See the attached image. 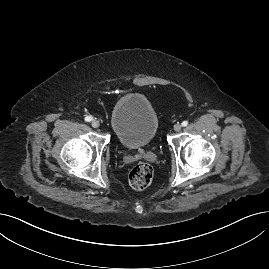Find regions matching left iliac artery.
<instances>
[{
  "mask_svg": "<svg viewBox=\"0 0 269 269\" xmlns=\"http://www.w3.org/2000/svg\"><path fill=\"white\" fill-rule=\"evenodd\" d=\"M181 125H182L183 127L187 126V125H188V121H183V122L181 123Z\"/></svg>",
  "mask_w": 269,
  "mask_h": 269,
  "instance_id": "1",
  "label": "left iliac artery"
}]
</instances>
